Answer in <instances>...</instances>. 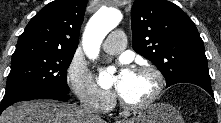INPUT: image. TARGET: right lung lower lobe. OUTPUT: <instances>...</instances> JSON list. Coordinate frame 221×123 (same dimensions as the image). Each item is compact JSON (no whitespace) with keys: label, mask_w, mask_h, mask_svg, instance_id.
<instances>
[{"label":"right lung lower lobe","mask_w":221,"mask_h":123,"mask_svg":"<svg viewBox=\"0 0 221 123\" xmlns=\"http://www.w3.org/2000/svg\"><path fill=\"white\" fill-rule=\"evenodd\" d=\"M70 96V94L65 93L63 91H59V90H53V91H49L47 93H44L42 95L37 96L35 99H55V100H60V101H65L68 99V97ZM18 101H24V100H20V99H16L13 100L9 103L3 104L0 107V114L3 110H5L8 106H10L11 104L18 102Z\"/></svg>","instance_id":"1"}]
</instances>
